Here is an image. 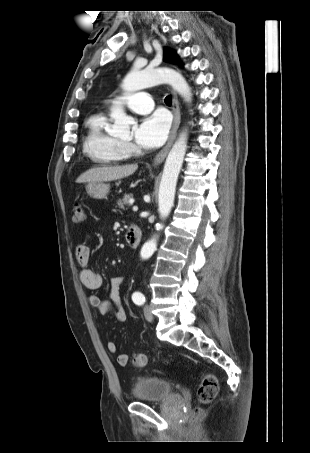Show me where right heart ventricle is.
I'll use <instances>...</instances> for the list:
<instances>
[{
	"label": "right heart ventricle",
	"mask_w": 310,
	"mask_h": 453,
	"mask_svg": "<svg viewBox=\"0 0 310 453\" xmlns=\"http://www.w3.org/2000/svg\"><path fill=\"white\" fill-rule=\"evenodd\" d=\"M108 119L104 113L91 115L86 121L83 151L94 163L112 165L124 161L127 151L118 138L107 131Z\"/></svg>",
	"instance_id": "right-heart-ventricle-1"
}]
</instances>
